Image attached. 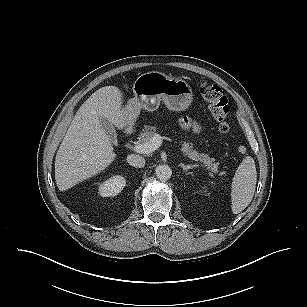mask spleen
I'll return each mask as SVG.
<instances>
[{
  "label": "spleen",
  "mask_w": 307,
  "mask_h": 307,
  "mask_svg": "<svg viewBox=\"0 0 307 307\" xmlns=\"http://www.w3.org/2000/svg\"><path fill=\"white\" fill-rule=\"evenodd\" d=\"M239 152L246 153L244 146L239 147ZM257 182L255 161L251 156H246L233 177L231 188L232 212H242L252 201Z\"/></svg>",
  "instance_id": "1"
}]
</instances>
